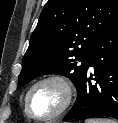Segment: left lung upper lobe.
Here are the masks:
<instances>
[{
    "mask_svg": "<svg viewBox=\"0 0 118 123\" xmlns=\"http://www.w3.org/2000/svg\"><path fill=\"white\" fill-rule=\"evenodd\" d=\"M118 19V0H48L22 60L19 84L44 74L79 89L93 46Z\"/></svg>",
    "mask_w": 118,
    "mask_h": 123,
    "instance_id": "left-lung-upper-lobe-1",
    "label": "left lung upper lobe"
}]
</instances>
